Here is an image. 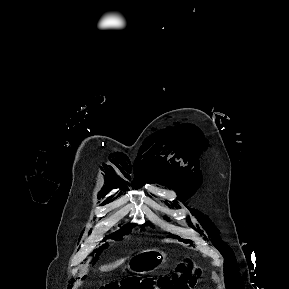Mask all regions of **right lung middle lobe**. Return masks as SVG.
Returning a JSON list of instances; mask_svg holds the SVG:
<instances>
[{
	"label": "right lung middle lobe",
	"instance_id": "1",
	"mask_svg": "<svg viewBox=\"0 0 289 289\" xmlns=\"http://www.w3.org/2000/svg\"><path fill=\"white\" fill-rule=\"evenodd\" d=\"M131 229L135 226V224H131V225H128ZM128 232H130V230L126 229L125 227L122 228L121 230L109 235V236H106V238H112V239H115L117 237H121L123 234H127Z\"/></svg>",
	"mask_w": 289,
	"mask_h": 289
}]
</instances>
